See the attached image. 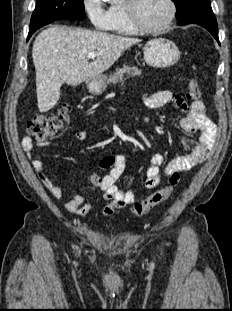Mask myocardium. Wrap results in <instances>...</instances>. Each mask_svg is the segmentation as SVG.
<instances>
[{"label":"myocardium","instance_id":"f54148a6","mask_svg":"<svg viewBox=\"0 0 232 311\" xmlns=\"http://www.w3.org/2000/svg\"><path fill=\"white\" fill-rule=\"evenodd\" d=\"M168 6H169V14L166 20L157 27H146L144 26L137 18L136 14V3L137 0H126L124 3V9L128 18V21L132 28L142 34H156L163 32L166 30L174 21L176 16V5L174 0H166Z\"/></svg>","mask_w":232,"mask_h":311}]
</instances>
